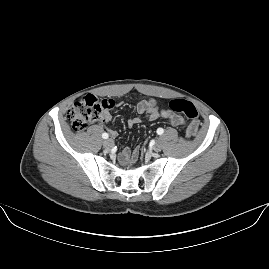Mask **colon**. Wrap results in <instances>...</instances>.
<instances>
[{"label":"colon","instance_id":"5ec220e1","mask_svg":"<svg viewBox=\"0 0 269 269\" xmlns=\"http://www.w3.org/2000/svg\"><path fill=\"white\" fill-rule=\"evenodd\" d=\"M115 106L113 97H106L101 100L93 94H87L79 101L75 102L68 111V121L73 130L77 132L84 131L90 124L101 120L102 115H109L111 108ZM169 109L174 113H182L186 116L190 124H195L194 120L198 118L196 107L188 100L174 98L168 104ZM185 132V131H184ZM191 132H185L184 136L191 141ZM182 136V135H181Z\"/></svg>","mask_w":269,"mask_h":269}]
</instances>
